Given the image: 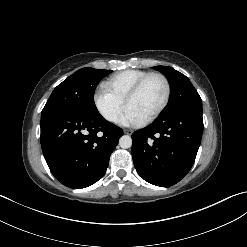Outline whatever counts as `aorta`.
<instances>
[{
  "instance_id": "1",
  "label": "aorta",
  "mask_w": 247,
  "mask_h": 247,
  "mask_svg": "<svg viewBox=\"0 0 247 247\" xmlns=\"http://www.w3.org/2000/svg\"><path fill=\"white\" fill-rule=\"evenodd\" d=\"M119 145L123 149L130 148L132 146V138L129 135H123L119 139Z\"/></svg>"
}]
</instances>
